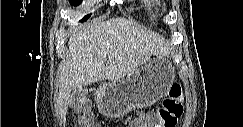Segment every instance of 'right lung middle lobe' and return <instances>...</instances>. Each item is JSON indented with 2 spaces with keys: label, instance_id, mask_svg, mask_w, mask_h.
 <instances>
[{
  "label": "right lung middle lobe",
  "instance_id": "dd1d6c3e",
  "mask_svg": "<svg viewBox=\"0 0 243 127\" xmlns=\"http://www.w3.org/2000/svg\"><path fill=\"white\" fill-rule=\"evenodd\" d=\"M81 2H82V0H70L71 5H73V6H78L81 4ZM90 16H91V14L84 16L82 18L81 22L87 21Z\"/></svg>",
  "mask_w": 243,
  "mask_h": 127
}]
</instances>
